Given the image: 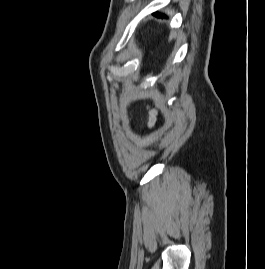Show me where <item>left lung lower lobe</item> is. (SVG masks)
Wrapping results in <instances>:
<instances>
[{
	"label": "left lung lower lobe",
	"instance_id": "1",
	"mask_svg": "<svg viewBox=\"0 0 265 269\" xmlns=\"http://www.w3.org/2000/svg\"><path fill=\"white\" fill-rule=\"evenodd\" d=\"M156 16H159V17H161V16H164L163 14H160V13H154Z\"/></svg>",
	"mask_w": 265,
	"mask_h": 269
}]
</instances>
